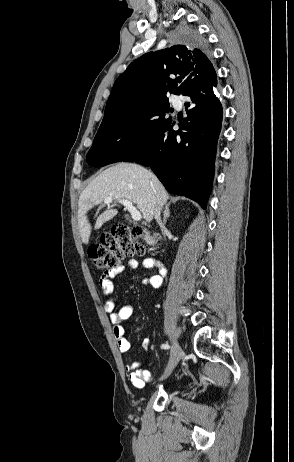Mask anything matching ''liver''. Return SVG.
<instances>
[{
	"instance_id": "1",
	"label": "liver",
	"mask_w": 294,
	"mask_h": 462,
	"mask_svg": "<svg viewBox=\"0 0 294 462\" xmlns=\"http://www.w3.org/2000/svg\"><path fill=\"white\" fill-rule=\"evenodd\" d=\"M109 196L113 200L125 199L134 203L147 222L153 219L155 206H163L169 198L157 177L139 165L119 163L107 168L90 182L79 197L78 226L83 243L89 241L92 231L87 218L88 211ZM117 212L113 208L105 210L97 218L94 229L101 228Z\"/></svg>"
}]
</instances>
